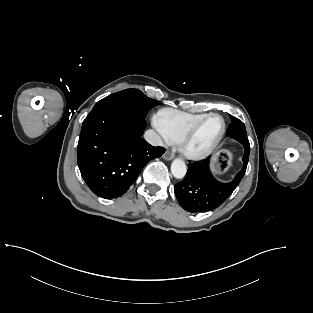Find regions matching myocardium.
Masks as SVG:
<instances>
[{
    "label": "myocardium",
    "mask_w": 313,
    "mask_h": 313,
    "mask_svg": "<svg viewBox=\"0 0 313 313\" xmlns=\"http://www.w3.org/2000/svg\"><path fill=\"white\" fill-rule=\"evenodd\" d=\"M211 117H218L222 121V130H221L219 136L214 141V143L209 148H207L206 150H203V151L192 150L190 148L191 139L193 138V136L197 132V130L202 126V124ZM226 128H227L226 121L223 118V116H221L218 113H209L205 117H203L201 120H199L197 123L192 125L186 131V133L182 136V138L180 139V141L178 143L179 149H180L181 153L188 159H191V160L204 159V158L208 157L209 155H211L216 150V148L219 146V144L221 143L222 139L225 136Z\"/></svg>",
    "instance_id": "1"
}]
</instances>
